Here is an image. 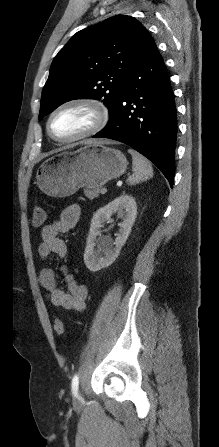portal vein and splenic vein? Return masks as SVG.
<instances>
[{
  "label": "portal vein and splenic vein",
  "instance_id": "obj_1",
  "mask_svg": "<svg viewBox=\"0 0 219 447\" xmlns=\"http://www.w3.org/2000/svg\"><path fill=\"white\" fill-rule=\"evenodd\" d=\"M107 192V189L105 188V187H103L102 189H101V193H106Z\"/></svg>",
  "mask_w": 219,
  "mask_h": 447
}]
</instances>
